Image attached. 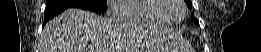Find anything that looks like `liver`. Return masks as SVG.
<instances>
[{
    "label": "liver",
    "instance_id": "6515ba94",
    "mask_svg": "<svg viewBox=\"0 0 261 52\" xmlns=\"http://www.w3.org/2000/svg\"><path fill=\"white\" fill-rule=\"evenodd\" d=\"M166 32H157L155 41L146 43L147 49L161 48ZM143 37L136 24L69 8L46 23L39 52H138Z\"/></svg>",
    "mask_w": 261,
    "mask_h": 52
}]
</instances>
